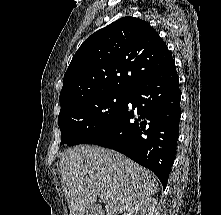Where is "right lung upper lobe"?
Segmentation results:
<instances>
[{"label": "right lung upper lobe", "mask_w": 221, "mask_h": 215, "mask_svg": "<svg viewBox=\"0 0 221 215\" xmlns=\"http://www.w3.org/2000/svg\"><path fill=\"white\" fill-rule=\"evenodd\" d=\"M172 59L148 22L120 18L89 36L73 56L64 75L61 109L102 94H127Z\"/></svg>", "instance_id": "right-lung-upper-lobe-1"}]
</instances>
